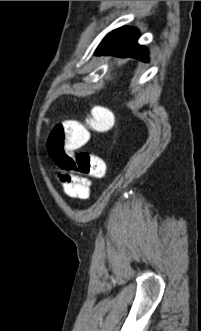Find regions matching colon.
Returning a JSON list of instances; mask_svg holds the SVG:
<instances>
[{
    "instance_id": "colon-1",
    "label": "colon",
    "mask_w": 201,
    "mask_h": 331,
    "mask_svg": "<svg viewBox=\"0 0 201 331\" xmlns=\"http://www.w3.org/2000/svg\"><path fill=\"white\" fill-rule=\"evenodd\" d=\"M114 124L113 112L102 106L92 108L83 122L72 119L58 122L48 137V153L65 172L102 179L106 174V164L102 158L86 151L72 153L71 150L84 146L89 140L90 131L103 133Z\"/></svg>"
}]
</instances>
